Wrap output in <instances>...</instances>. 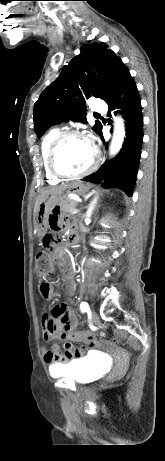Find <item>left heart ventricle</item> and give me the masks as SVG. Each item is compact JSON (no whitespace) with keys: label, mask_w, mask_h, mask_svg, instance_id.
<instances>
[{"label":"left heart ventricle","mask_w":165,"mask_h":461,"mask_svg":"<svg viewBox=\"0 0 165 461\" xmlns=\"http://www.w3.org/2000/svg\"><path fill=\"white\" fill-rule=\"evenodd\" d=\"M93 160V149L87 139L71 137L60 146L57 154V166L65 173H79L85 170Z\"/></svg>","instance_id":"obj_1"}]
</instances>
